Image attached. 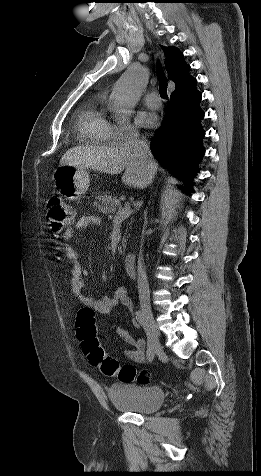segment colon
Returning <instances> with one entry per match:
<instances>
[{"label": "colon", "mask_w": 261, "mask_h": 476, "mask_svg": "<svg viewBox=\"0 0 261 476\" xmlns=\"http://www.w3.org/2000/svg\"><path fill=\"white\" fill-rule=\"evenodd\" d=\"M45 209L48 226L55 234L60 233L73 220L72 209L59 196L48 198ZM95 324L94 310L82 307L76 319L77 337L90 364L98 367L104 375L117 377L121 382L137 381L147 384L150 381V373L147 370L137 372L132 365H121L104 351L97 338Z\"/></svg>", "instance_id": "obj_1"}]
</instances>
